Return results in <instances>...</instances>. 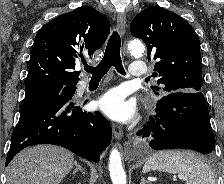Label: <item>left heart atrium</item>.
I'll list each match as a JSON object with an SVG mask.
<instances>
[{
	"label": "left heart atrium",
	"mask_w": 224,
	"mask_h": 184,
	"mask_svg": "<svg viewBox=\"0 0 224 184\" xmlns=\"http://www.w3.org/2000/svg\"><path fill=\"white\" fill-rule=\"evenodd\" d=\"M99 108L110 118L117 121H127L134 115V105L125 100L118 89L108 91L98 101Z\"/></svg>",
	"instance_id": "1"
}]
</instances>
